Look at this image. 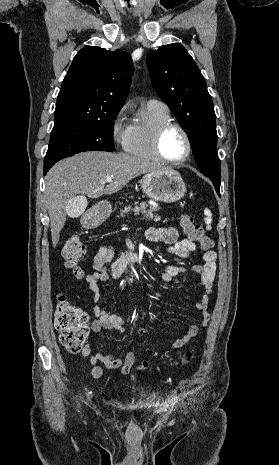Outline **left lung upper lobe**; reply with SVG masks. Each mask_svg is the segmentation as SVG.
<instances>
[{
	"label": "left lung upper lobe",
	"instance_id": "5c2ea615",
	"mask_svg": "<svg viewBox=\"0 0 279 465\" xmlns=\"http://www.w3.org/2000/svg\"><path fill=\"white\" fill-rule=\"evenodd\" d=\"M147 64L154 90L188 134L200 170L220 191L214 106L198 66L179 43L150 51Z\"/></svg>",
	"mask_w": 279,
	"mask_h": 465
}]
</instances>
